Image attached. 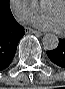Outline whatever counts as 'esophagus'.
<instances>
[{
  "mask_svg": "<svg viewBox=\"0 0 65 89\" xmlns=\"http://www.w3.org/2000/svg\"><path fill=\"white\" fill-rule=\"evenodd\" d=\"M27 31H28V32H31V33H34V34H36V35H39V36H41V35H42V33H41V32H39V31H37V30L27 29Z\"/></svg>",
  "mask_w": 65,
  "mask_h": 89,
  "instance_id": "obj_1",
  "label": "esophagus"
}]
</instances>
